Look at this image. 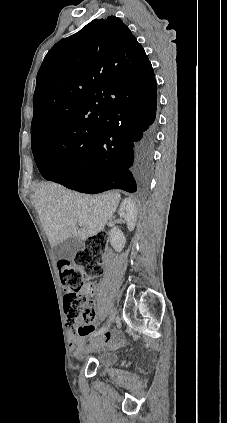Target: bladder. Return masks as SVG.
I'll return each instance as SVG.
<instances>
[{"mask_svg": "<svg viewBox=\"0 0 227 423\" xmlns=\"http://www.w3.org/2000/svg\"><path fill=\"white\" fill-rule=\"evenodd\" d=\"M118 356L116 352H102L97 355L94 362L98 367H112L117 363Z\"/></svg>", "mask_w": 227, "mask_h": 423, "instance_id": "obj_1", "label": "bladder"}]
</instances>
